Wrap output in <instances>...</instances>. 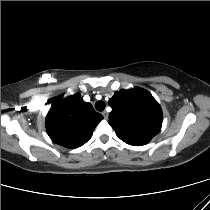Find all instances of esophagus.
<instances>
[{
    "mask_svg": "<svg viewBox=\"0 0 210 210\" xmlns=\"http://www.w3.org/2000/svg\"><path fill=\"white\" fill-rule=\"evenodd\" d=\"M102 115H103V117H104L105 119H108V113H107L106 111H103V112H102Z\"/></svg>",
    "mask_w": 210,
    "mask_h": 210,
    "instance_id": "1",
    "label": "esophagus"
}]
</instances>
